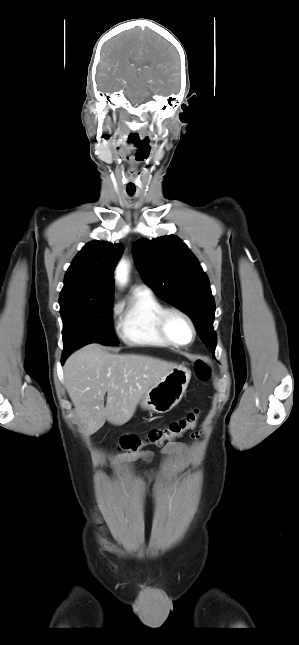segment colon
<instances>
[{"mask_svg": "<svg viewBox=\"0 0 299 645\" xmlns=\"http://www.w3.org/2000/svg\"><path fill=\"white\" fill-rule=\"evenodd\" d=\"M194 372L197 379L202 382H206L211 378V367L205 360L196 362ZM199 416L200 411L194 409L183 418L172 421L164 427L151 429L145 437L135 434L122 436L118 442V447L126 454H137L146 445L161 447L181 437L187 431L194 429Z\"/></svg>", "mask_w": 299, "mask_h": 645, "instance_id": "obj_1", "label": "colon"}]
</instances>
